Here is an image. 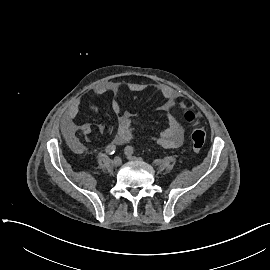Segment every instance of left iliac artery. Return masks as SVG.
<instances>
[{
	"mask_svg": "<svg viewBox=\"0 0 270 270\" xmlns=\"http://www.w3.org/2000/svg\"><path fill=\"white\" fill-rule=\"evenodd\" d=\"M125 153L133 154L134 153V148L132 146H127L125 148Z\"/></svg>",
	"mask_w": 270,
	"mask_h": 270,
	"instance_id": "obj_1",
	"label": "left iliac artery"
}]
</instances>
